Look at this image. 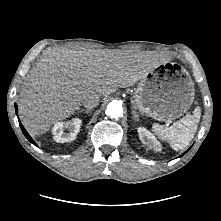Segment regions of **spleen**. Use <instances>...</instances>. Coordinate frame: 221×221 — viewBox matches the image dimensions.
Listing matches in <instances>:
<instances>
[{
	"instance_id": "spleen-1",
	"label": "spleen",
	"mask_w": 221,
	"mask_h": 221,
	"mask_svg": "<svg viewBox=\"0 0 221 221\" xmlns=\"http://www.w3.org/2000/svg\"><path fill=\"white\" fill-rule=\"evenodd\" d=\"M199 118L200 108L197 107L193 115L187 114L171 126L154 124L152 130L161 140L169 142L174 150H183L194 138Z\"/></svg>"
}]
</instances>
